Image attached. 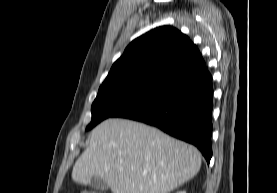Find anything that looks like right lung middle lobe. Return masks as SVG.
Instances as JSON below:
<instances>
[{"label": "right lung middle lobe", "instance_id": "obj_1", "mask_svg": "<svg viewBox=\"0 0 277 193\" xmlns=\"http://www.w3.org/2000/svg\"><path fill=\"white\" fill-rule=\"evenodd\" d=\"M152 92L148 89L129 87L99 89L91 107L92 120L86 130L92 129L106 118L114 117Z\"/></svg>", "mask_w": 277, "mask_h": 193}]
</instances>
